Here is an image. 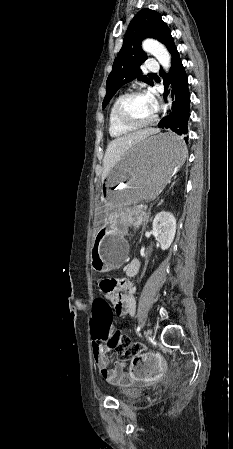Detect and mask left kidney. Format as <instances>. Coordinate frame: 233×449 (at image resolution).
Masks as SVG:
<instances>
[{
  "label": "left kidney",
  "mask_w": 233,
  "mask_h": 449,
  "mask_svg": "<svg viewBox=\"0 0 233 449\" xmlns=\"http://www.w3.org/2000/svg\"><path fill=\"white\" fill-rule=\"evenodd\" d=\"M152 228L158 234L161 249H168L176 233V219L173 214L165 211L158 213L153 219Z\"/></svg>",
  "instance_id": "left-kidney-1"
}]
</instances>
